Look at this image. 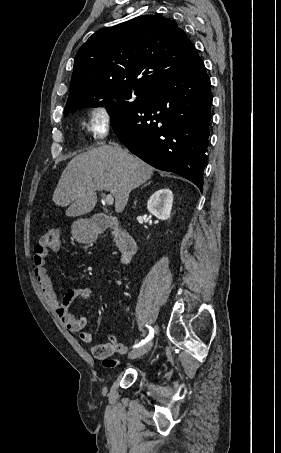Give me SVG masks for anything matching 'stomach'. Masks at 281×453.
<instances>
[{
	"label": "stomach",
	"mask_w": 281,
	"mask_h": 453,
	"mask_svg": "<svg viewBox=\"0 0 281 453\" xmlns=\"http://www.w3.org/2000/svg\"><path fill=\"white\" fill-rule=\"evenodd\" d=\"M72 237L78 243H93L96 233L92 227L90 220L87 218H79V220H75L72 224Z\"/></svg>",
	"instance_id": "0dacf381"
}]
</instances>
